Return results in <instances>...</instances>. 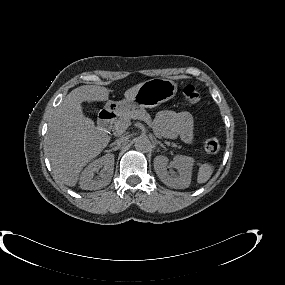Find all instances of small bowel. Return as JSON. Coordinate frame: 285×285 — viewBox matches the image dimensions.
<instances>
[{"label":"small bowel","instance_id":"obj_1","mask_svg":"<svg viewBox=\"0 0 285 285\" xmlns=\"http://www.w3.org/2000/svg\"><path fill=\"white\" fill-rule=\"evenodd\" d=\"M156 131L165 137H180L185 143L194 139L193 118L189 112L163 110L155 116Z\"/></svg>","mask_w":285,"mask_h":285}]
</instances>
